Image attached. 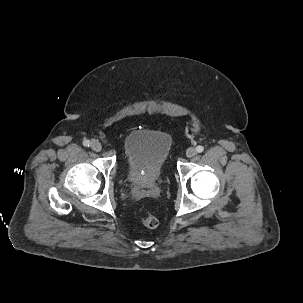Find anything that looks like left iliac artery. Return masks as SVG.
I'll return each mask as SVG.
<instances>
[{
	"instance_id": "obj_1",
	"label": "left iliac artery",
	"mask_w": 303,
	"mask_h": 303,
	"mask_svg": "<svg viewBox=\"0 0 303 303\" xmlns=\"http://www.w3.org/2000/svg\"><path fill=\"white\" fill-rule=\"evenodd\" d=\"M196 151H197L198 153H201V152L204 151V147L201 146V145H199V146L196 147Z\"/></svg>"
}]
</instances>
